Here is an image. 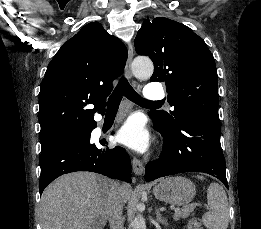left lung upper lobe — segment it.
<instances>
[{
    "mask_svg": "<svg viewBox=\"0 0 261 229\" xmlns=\"http://www.w3.org/2000/svg\"><path fill=\"white\" fill-rule=\"evenodd\" d=\"M134 45L154 63L150 81L166 82L174 110L150 112L165 131L175 132L192 115L219 121L216 65L202 38L181 23L158 17L144 20Z\"/></svg>",
    "mask_w": 261,
    "mask_h": 229,
    "instance_id": "obj_1",
    "label": "left lung upper lobe"
}]
</instances>
